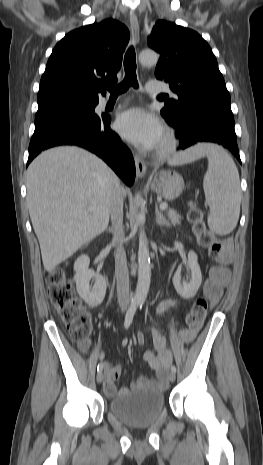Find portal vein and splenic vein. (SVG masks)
Instances as JSON below:
<instances>
[{
	"instance_id": "1",
	"label": "portal vein and splenic vein",
	"mask_w": 263,
	"mask_h": 465,
	"mask_svg": "<svg viewBox=\"0 0 263 465\" xmlns=\"http://www.w3.org/2000/svg\"><path fill=\"white\" fill-rule=\"evenodd\" d=\"M168 208V205L166 203H161L160 204V209L161 210H166Z\"/></svg>"
}]
</instances>
